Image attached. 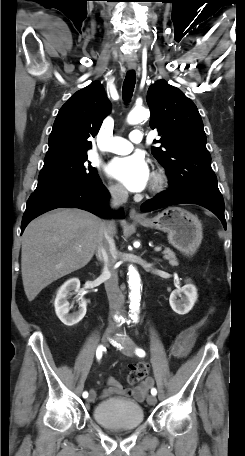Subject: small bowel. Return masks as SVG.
Instances as JSON below:
<instances>
[{
  "mask_svg": "<svg viewBox=\"0 0 245 456\" xmlns=\"http://www.w3.org/2000/svg\"><path fill=\"white\" fill-rule=\"evenodd\" d=\"M205 320L202 319L199 322L190 325L184 328L176 338V340L170 346V353L175 358H182L185 357L193 347L195 340L197 338V334L199 329L203 326ZM108 388H106L103 393L102 397H108L110 395H118V396H131L136 400H143L145 395L147 394L148 390L154 384L152 378L146 379L140 385L135 386L131 389L124 388L116 379L113 377H109L107 379Z\"/></svg>",
  "mask_w": 245,
  "mask_h": 456,
  "instance_id": "1",
  "label": "small bowel"
}]
</instances>
